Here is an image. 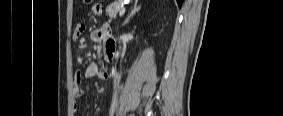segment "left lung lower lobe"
I'll return each mask as SVG.
<instances>
[{
    "label": "left lung lower lobe",
    "instance_id": "1",
    "mask_svg": "<svg viewBox=\"0 0 283 116\" xmlns=\"http://www.w3.org/2000/svg\"><path fill=\"white\" fill-rule=\"evenodd\" d=\"M183 0H177L178 5L180 6Z\"/></svg>",
    "mask_w": 283,
    "mask_h": 116
}]
</instances>
